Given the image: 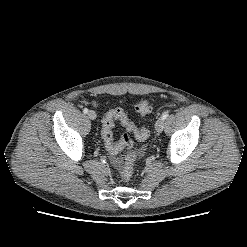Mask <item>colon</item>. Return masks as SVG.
Returning <instances> with one entry per match:
<instances>
[{"instance_id": "obj_1", "label": "colon", "mask_w": 247, "mask_h": 247, "mask_svg": "<svg viewBox=\"0 0 247 247\" xmlns=\"http://www.w3.org/2000/svg\"><path fill=\"white\" fill-rule=\"evenodd\" d=\"M135 110L142 118H145L152 110L150 101L147 99L141 100L135 106ZM115 120L120 121L125 128L121 140L117 143L113 140V127ZM149 134V130L145 126L137 129L121 108L110 110L102 121V138L108 152L111 155H118L124 148L129 150L124 158L121 170V178L126 183L133 181L135 178L134 164L137 159V154L133 150L132 135H134V137L139 141H145L149 137Z\"/></svg>"}]
</instances>
